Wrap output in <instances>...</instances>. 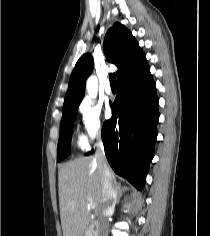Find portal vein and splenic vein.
Masks as SVG:
<instances>
[{"label":"portal vein and splenic vein","mask_w":210,"mask_h":236,"mask_svg":"<svg viewBox=\"0 0 210 236\" xmlns=\"http://www.w3.org/2000/svg\"><path fill=\"white\" fill-rule=\"evenodd\" d=\"M91 207H95L94 204L92 202L89 203Z\"/></svg>","instance_id":"1"}]
</instances>
